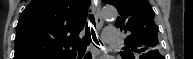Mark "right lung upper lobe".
Wrapping results in <instances>:
<instances>
[{
	"mask_svg": "<svg viewBox=\"0 0 193 59\" xmlns=\"http://www.w3.org/2000/svg\"><path fill=\"white\" fill-rule=\"evenodd\" d=\"M90 0H32L17 24L14 59H70Z\"/></svg>",
	"mask_w": 193,
	"mask_h": 59,
	"instance_id": "cb5924a9",
	"label": "right lung upper lobe"
}]
</instances>
